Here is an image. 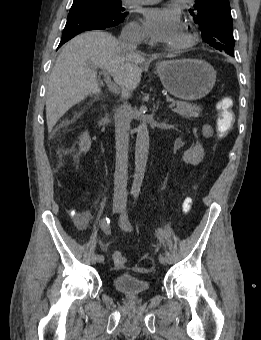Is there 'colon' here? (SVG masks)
I'll list each match as a JSON object with an SVG mask.
<instances>
[{
    "label": "colon",
    "mask_w": 261,
    "mask_h": 340,
    "mask_svg": "<svg viewBox=\"0 0 261 340\" xmlns=\"http://www.w3.org/2000/svg\"><path fill=\"white\" fill-rule=\"evenodd\" d=\"M233 106L234 101L230 97H223L217 102V131L220 136L227 135L234 125L235 115L233 111ZM191 207L192 200L188 198L184 202L185 212L190 211ZM112 261L117 268H122L125 264V257L120 252H114L112 254Z\"/></svg>",
    "instance_id": "colon-1"
}]
</instances>
